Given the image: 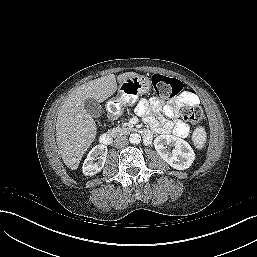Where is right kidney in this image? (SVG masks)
Returning a JSON list of instances; mask_svg holds the SVG:
<instances>
[{
  "instance_id": "right-kidney-1",
  "label": "right kidney",
  "mask_w": 257,
  "mask_h": 257,
  "mask_svg": "<svg viewBox=\"0 0 257 257\" xmlns=\"http://www.w3.org/2000/svg\"><path fill=\"white\" fill-rule=\"evenodd\" d=\"M107 151V146L103 144L96 145L91 149L82 166L84 175L93 176L101 171L106 161Z\"/></svg>"
}]
</instances>
